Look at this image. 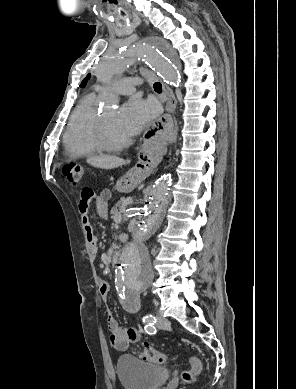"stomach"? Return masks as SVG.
Returning <instances> with one entry per match:
<instances>
[{
    "instance_id": "stomach-1",
    "label": "stomach",
    "mask_w": 296,
    "mask_h": 389,
    "mask_svg": "<svg viewBox=\"0 0 296 389\" xmlns=\"http://www.w3.org/2000/svg\"><path fill=\"white\" fill-rule=\"evenodd\" d=\"M152 169H135L130 168L126 172V177L121 178L116 184V190L120 192L130 191L140 181L150 176Z\"/></svg>"
}]
</instances>
